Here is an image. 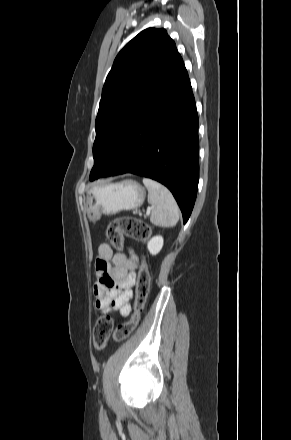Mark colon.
I'll return each mask as SVG.
<instances>
[{
	"label": "colon",
	"mask_w": 291,
	"mask_h": 440,
	"mask_svg": "<svg viewBox=\"0 0 291 440\" xmlns=\"http://www.w3.org/2000/svg\"><path fill=\"white\" fill-rule=\"evenodd\" d=\"M124 234H127L135 240L145 242L149 238L150 229L147 224L135 217L122 216L114 219L107 228V237L113 248L117 251L122 250ZM149 289L150 276L146 267L142 266L138 275L137 297L134 313L129 321L119 325L115 329L114 338L116 340H124L128 338L138 325ZM111 331V317L109 315L99 317L95 323L92 334L93 345L97 350H101L105 347Z\"/></svg>",
	"instance_id": "colon-1"
}]
</instances>
